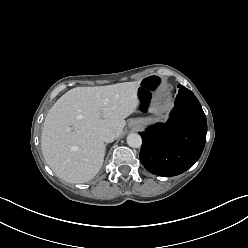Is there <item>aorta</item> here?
I'll use <instances>...</instances> for the list:
<instances>
[{
	"label": "aorta",
	"mask_w": 248,
	"mask_h": 248,
	"mask_svg": "<svg viewBox=\"0 0 248 248\" xmlns=\"http://www.w3.org/2000/svg\"><path fill=\"white\" fill-rule=\"evenodd\" d=\"M127 144L132 148H140L142 144V138L137 133H131L127 136Z\"/></svg>",
	"instance_id": "1"
}]
</instances>
